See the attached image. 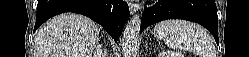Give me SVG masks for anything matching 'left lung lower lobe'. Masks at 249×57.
<instances>
[{"mask_svg":"<svg viewBox=\"0 0 249 57\" xmlns=\"http://www.w3.org/2000/svg\"><path fill=\"white\" fill-rule=\"evenodd\" d=\"M166 19H184L201 24L218 41V16L214 0H159L145 8L140 33L148 26Z\"/></svg>","mask_w":249,"mask_h":57,"instance_id":"left-lung-lower-lobe-1","label":"left lung lower lobe"}]
</instances>
